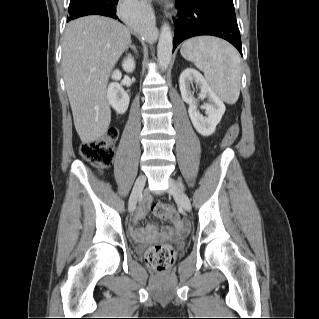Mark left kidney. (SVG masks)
I'll return each instance as SVG.
<instances>
[{
	"instance_id": "5707ae66",
	"label": "left kidney",
	"mask_w": 319,
	"mask_h": 319,
	"mask_svg": "<svg viewBox=\"0 0 319 319\" xmlns=\"http://www.w3.org/2000/svg\"><path fill=\"white\" fill-rule=\"evenodd\" d=\"M195 83L200 88V96L207 97L209 104L203 106L206 117L197 109L191 85ZM179 87L183 101L189 104V117L196 131L203 136L214 133L217 124L225 113V105L221 99L212 91L204 77L195 69H185L179 78Z\"/></svg>"
}]
</instances>
